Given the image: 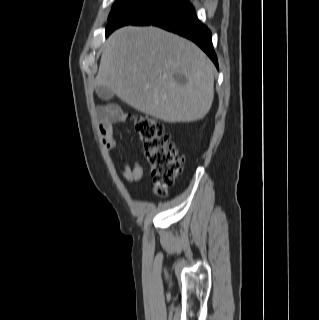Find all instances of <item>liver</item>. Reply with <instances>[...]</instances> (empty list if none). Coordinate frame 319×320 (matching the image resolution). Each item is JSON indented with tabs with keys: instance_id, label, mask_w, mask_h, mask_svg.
<instances>
[{
	"instance_id": "obj_1",
	"label": "liver",
	"mask_w": 319,
	"mask_h": 320,
	"mask_svg": "<svg viewBox=\"0 0 319 320\" xmlns=\"http://www.w3.org/2000/svg\"><path fill=\"white\" fill-rule=\"evenodd\" d=\"M181 73L186 83L174 75ZM215 67L191 41L157 27L125 26L110 35L96 86L132 108L168 123L193 122L209 112Z\"/></svg>"
}]
</instances>
